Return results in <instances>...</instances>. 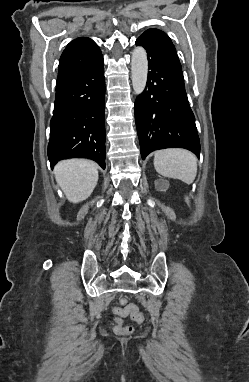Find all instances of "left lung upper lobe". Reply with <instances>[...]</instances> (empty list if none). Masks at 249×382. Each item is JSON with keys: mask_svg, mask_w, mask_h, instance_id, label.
I'll return each mask as SVG.
<instances>
[{"mask_svg": "<svg viewBox=\"0 0 249 382\" xmlns=\"http://www.w3.org/2000/svg\"><path fill=\"white\" fill-rule=\"evenodd\" d=\"M139 38L149 44L155 51L181 67L175 46L166 33L158 29H148Z\"/></svg>", "mask_w": 249, "mask_h": 382, "instance_id": "obj_1", "label": "left lung upper lobe"}]
</instances>
